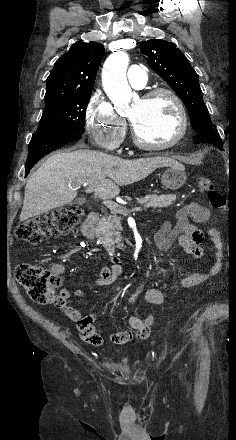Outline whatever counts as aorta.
Instances as JSON below:
<instances>
[{
	"label": "aorta",
	"mask_w": 236,
	"mask_h": 440,
	"mask_svg": "<svg viewBox=\"0 0 236 440\" xmlns=\"http://www.w3.org/2000/svg\"><path fill=\"white\" fill-rule=\"evenodd\" d=\"M128 64V54L118 51L110 55L103 66L102 84L118 113L124 112L135 99L126 78Z\"/></svg>",
	"instance_id": "1"
}]
</instances>
